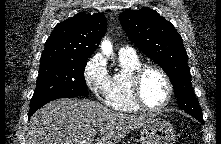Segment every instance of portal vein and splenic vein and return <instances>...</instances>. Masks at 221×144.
Returning <instances> with one entry per match:
<instances>
[{
    "label": "portal vein and splenic vein",
    "mask_w": 221,
    "mask_h": 144,
    "mask_svg": "<svg viewBox=\"0 0 221 144\" xmlns=\"http://www.w3.org/2000/svg\"><path fill=\"white\" fill-rule=\"evenodd\" d=\"M92 142H93V139H90V140L86 141L85 144H92Z\"/></svg>",
    "instance_id": "obj_1"
}]
</instances>
